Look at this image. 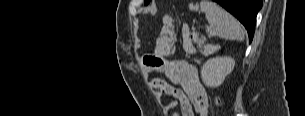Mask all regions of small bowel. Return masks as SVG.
I'll return each mask as SVG.
<instances>
[{"label": "small bowel", "instance_id": "obj_1", "mask_svg": "<svg viewBox=\"0 0 305 116\" xmlns=\"http://www.w3.org/2000/svg\"><path fill=\"white\" fill-rule=\"evenodd\" d=\"M172 48V41L161 38L154 53L143 56V64L148 71L163 74L168 80L152 78L150 85L157 93L175 98L166 105L167 110H172L179 104L182 116H206L208 97L198 71L186 61L168 59ZM172 116L178 114L173 113Z\"/></svg>", "mask_w": 305, "mask_h": 116}]
</instances>
